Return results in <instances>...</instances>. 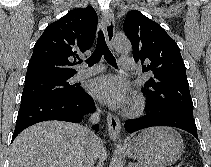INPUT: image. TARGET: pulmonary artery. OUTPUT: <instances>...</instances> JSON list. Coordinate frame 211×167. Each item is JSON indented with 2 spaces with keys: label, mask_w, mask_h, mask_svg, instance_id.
Masks as SVG:
<instances>
[{
  "label": "pulmonary artery",
  "mask_w": 211,
  "mask_h": 167,
  "mask_svg": "<svg viewBox=\"0 0 211 167\" xmlns=\"http://www.w3.org/2000/svg\"><path fill=\"white\" fill-rule=\"evenodd\" d=\"M119 66L122 68V69H125V70H131L134 66V61L132 58H130L129 56H121L120 59H119ZM103 70V67L102 66H96V67H93V68H87V69H80L77 74L75 75V78L77 80H82L86 77H89L93 74H96L100 71Z\"/></svg>",
  "instance_id": "pulmonary-artery-1"
}]
</instances>
